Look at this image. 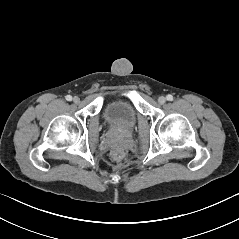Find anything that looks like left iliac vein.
<instances>
[{
	"label": "left iliac vein",
	"mask_w": 239,
	"mask_h": 239,
	"mask_svg": "<svg viewBox=\"0 0 239 239\" xmlns=\"http://www.w3.org/2000/svg\"><path fill=\"white\" fill-rule=\"evenodd\" d=\"M158 102H159L160 104H164V103L166 102V98H165L164 96H160V97L158 98Z\"/></svg>",
	"instance_id": "1"
}]
</instances>
